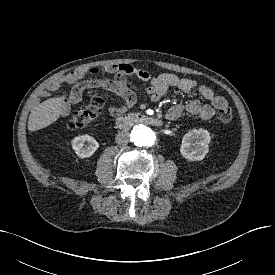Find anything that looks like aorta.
I'll list each match as a JSON object with an SVG mask.
<instances>
[{
	"mask_svg": "<svg viewBox=\"0 0 275 275\" xmlns=\"http://www.w3.org/2000/svg\"><path fill=\"white\" fill-rule=\"evenodd\" d=\"M155 139V133L145 125L136 126L131 132V140L138 147H151Z\"/></svg>",
	"mask_w": 275,
	"mask_h": 275,
	"instance_id": "obj_1",
	"label": "aorta"
}]
</instances>
